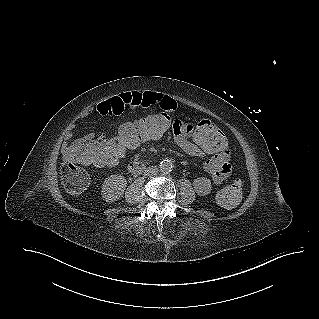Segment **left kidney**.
<instances>
[{
    "label": "left kidney",
    "instance_id": "1",
    "mask_svg": "<svg viewBox=\"0 0 319 319\" xmlns=\"http://www.w3.org/2000/svg\"><path fill=\"white\" fill-rule=\"evenodd\" d=\"M194 188L198 195H207L211 192V181L204 177L197 178L194 180Z\"/></svg>",
    "mask_w": 319,
    "mask_h": 319
}]
</instances>
